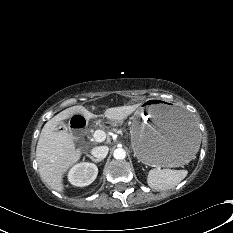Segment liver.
<instances>
[{
    "label": "liver",
    "instance_id": "obj_1",
    "mask_svg": "<svg viewBox=\"0 0 233 233\" xmlns=\"http://www.w3.org/2000/svg\"><path fill=\"white\" fill-rule=\"evenodd\" d=\"M139 106L138 103L108 108L104 112V116L111 121H121L137 110ZM73 114L83 116L86 120L97 117L83 106L65 109L44 125L36 147V160L41 179L58 192L64 191V174L81 157V149H76L74 136L71 133L57 130L58 123Z\"/></svg>",
    "mask_w": 233,
    "mask_h": 233
}]
</instances>
